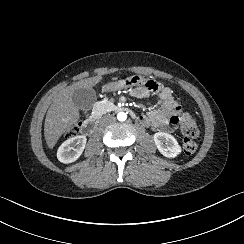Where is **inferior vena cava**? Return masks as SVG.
<instances>
[{
    "mask_svg": "<svg viewBox=\"0 0 244 244\" xmlns=\"http://www.w3.org/2000/svg\"><path fill=\"white\" fill-rule=\"evenodd\" d=\"M107 120H110V122H115L116 118L112 115H109L106 117Z\"/></svg>",
    "mask_w": 244,
    "mask_h": 244,
    "instance_id": "obj_1",
    "label": "inferior vena cava"
}]
</instances>
